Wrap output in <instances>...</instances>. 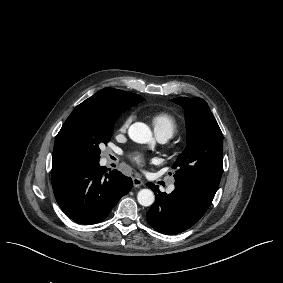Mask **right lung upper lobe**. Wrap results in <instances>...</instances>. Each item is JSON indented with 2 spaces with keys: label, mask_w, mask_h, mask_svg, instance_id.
<instances>
[{
  "label": "right lung upper lobe",
  "mask_w": 283,
  "mask_h": 283,
  "mask_svg": "<svg viewBox=\"0 0 283 283\" xmlns=\"http://www.w3.org/2000/svg\"><path fill=\"white\" fill-rule=\"evenodd\" d=\"M144 100L143 97L117 90L104 88L79 104L63 124L55 139L52 162V178L64 175L85 165L79 155L72 131L75 125L82 120H93L100 117H110L129 109Z\"/></svg>",
  "instance_id": "right-lung-upper-lobe-1"
}]
</instances>
